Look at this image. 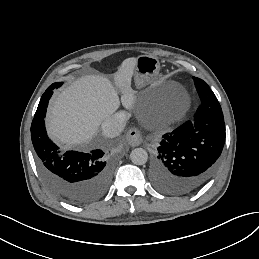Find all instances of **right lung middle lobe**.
<instances>
[{"label":"right lung middle lobe","mask_w":259,"mask_h":259,"mask_svg":"<svg viewBox=\"0 0 259 259\" xmlns=\"http://www.w3.org/2000/svg\"><path fill=\"white\" fill-rule=\"evenodd\" d=\"M62 85V82H58V83H53L52 85H50L46 91H51L54 90L55 88L59 87Z\"/></svg>","instance_id":"1"}]
</instances>
